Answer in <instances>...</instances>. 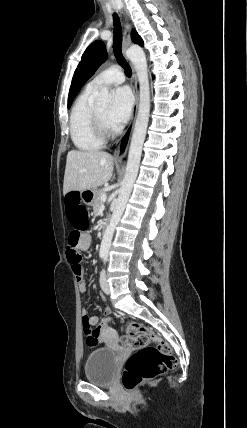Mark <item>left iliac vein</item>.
Listing matches in <instances>:
<instances>
[{
    "label": "left iliac vein",
    "mask_w": 247,
    "mask_h": 428,
    "mask_svg": "<svg viewBox=\"0 0 247 428\" xmlns=\"http://www.w3.org/2000/svg\"><path fill=\"white\" fill-rule=\"evenodd\" d=\"M100 285L104 293L109 294L110 293V286L107 281V276L105 270H103L100 274Z\"/></svg>",
    "instance_id": "obj_1"
}]
</instances>
